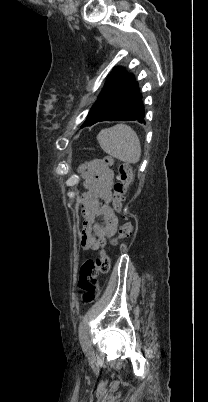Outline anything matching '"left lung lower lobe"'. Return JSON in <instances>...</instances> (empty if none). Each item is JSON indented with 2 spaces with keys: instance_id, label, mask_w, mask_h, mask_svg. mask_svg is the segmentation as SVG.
Wrapping results in <instances>:
<instances>
[{
  "instance_id": "1",
  "label": "left lung lower lobe",
  "mask_w": 208,
  "mask_h": 402,
  "mask_svg": "<svg viewBox=\"0 0 208 402\" xmlns=\"http://www.w3.org/2000/svg\"><path fill=\"white\" fill-rule=\"evenodd\" d=\"M142 96L137 82H134L125 96L112 106L99 120L100 121H138L145 123ZM94 123V124H95ZM93 125V124H92ZM91 126V125H89Z\"/></svg>"
}]
</instances>
